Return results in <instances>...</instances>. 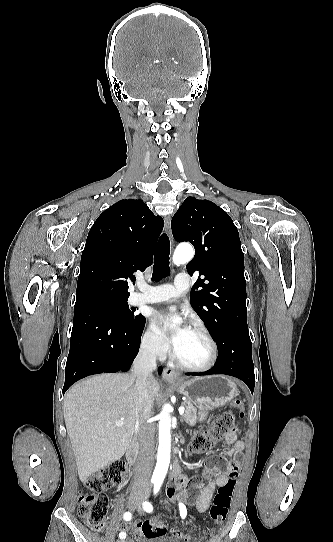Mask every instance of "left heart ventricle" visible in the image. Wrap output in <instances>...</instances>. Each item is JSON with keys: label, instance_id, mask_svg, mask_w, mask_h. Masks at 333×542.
<instances>
[{"label": "left heart ventricle", "instance_id": "left-heart-ventricle-1", "mask_svg": "<svg viewBox=\"0 0 333 542\" xmlns=\"http://www.w3.org/2000/svg\"><path fill=\"white\" fill-rule=\"evenodd\" d=\"M171 350L182 362L193 366L205 365L211 356L207 340L192 328L179 335L177 344Z\"/></svg>", "mask_w": 333, "mask_h": 542}]
</instances>
